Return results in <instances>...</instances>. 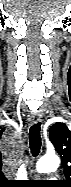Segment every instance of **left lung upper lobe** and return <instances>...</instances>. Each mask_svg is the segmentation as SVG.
<instances>
[{
  "mask_svg": "<svg viewBox=\"0 0 71 187\" xmlns=\"http://www.w3.org/2000/svg\"><path fill=\"white\" fill-rule=\"evenodd\" d=\"M50 140L62 159L64 173L66 176L65 184H70L71 178V130L61 122L55 123L50 128Z\"/></svg>",
  "mask_w": 71,
  "mask_h": 187,
  "instance_id": "obj_1",
  "label": "left lung upper lobe"
}]
</instances>
